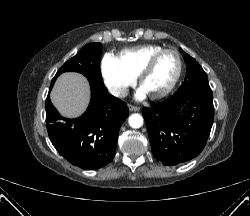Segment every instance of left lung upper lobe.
<instances>
[{
  "label": "left lung upper lobe",
  "instance_id": "obj_1",
  "mask_svg": "<svg viewBox=\"0 0 250 216\" xmlns=\"http://www.w3.org/2000/svg\"><path fill=\"white\" fill-rule=\"evenodd\" d=\"M180 51L187 65V73L182 86L173 96L180 97L195 93H205L212 95L207 74L204 72L202 67L194 58H192L182 49H180Z\"/></svg>",
  "mask_w": 250,
  "mask_h": 216
}]
</instances>
